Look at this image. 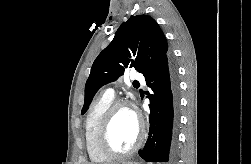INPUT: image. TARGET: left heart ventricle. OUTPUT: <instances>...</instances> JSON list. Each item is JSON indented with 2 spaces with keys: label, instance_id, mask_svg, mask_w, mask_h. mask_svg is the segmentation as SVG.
Returning <instances> with one entry per match:
<instances>
[{
  "label": "left heart ventricle",
  "instance_id": "obj_1",
  "mask_svg": "<svg viewBox=\"0 0 251 164\" xmlns=\"http://www.w3.org/2000/svg\"><path fill=\"white\" fill-rule=\"evenodd\" d=\"M138 137V122L135 114L129 108H120L112 121L109 141L117 151H126L136 142Z\"/></svg>",
  "mask_w": 251,
  "mask_h": 164
}]
</instances>
